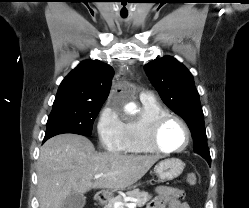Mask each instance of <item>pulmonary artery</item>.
<instances>
[{
  "label": "pulmonary artery",
  "mask_w": 249,
  "mask_h": 208,
  "mask_svg": "<svg viewBox=\"0 0 249 208\" xmlns=\"http://www.w3.org/2000/svg\"><path fill=\"white\" fill-rule=\"evenodd\" d=\"M141 101H153L152 96L149 93L142 92L140 94Z\"/></svg>",
  "instance_id": "obj_1"
}]
</instances>
